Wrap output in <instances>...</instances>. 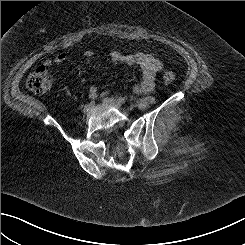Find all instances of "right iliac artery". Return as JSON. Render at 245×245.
I'll return each instance as SVG.
<instances>
[{"label": "right iliac artery", "instance_id": "obj_1", "mask_svg": "<svg viewBox=\"0 0 245 245\" xmlns=\"http://www.w3.org/2000/svg\"><path fill=\"white\" fill-rule=\"evenodd\" d=\"M90 105H91V107H93L95 105V99L94 98H92Z\"/></svg>", "mask_w": 245, "mask_h": 245}]
</instances>
